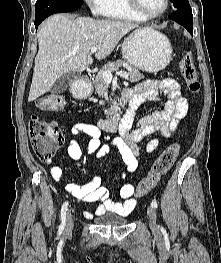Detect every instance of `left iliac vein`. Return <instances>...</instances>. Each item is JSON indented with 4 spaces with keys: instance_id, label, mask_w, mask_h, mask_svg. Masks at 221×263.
I'll return each mask as SVG.
<instances>
[{
    "instance_id": "left-iliac-vein-1",
    "label": "left iliac vein",
    "mask_w": 221,
    "mask_h": 263,
    "mask_svg": "<svg viewBox=\"0 0 221 263\" xmlns=\"http://www.w3.org/2000/svg\"><path fill=\"white\" fill-rule=\"evenodd\" d=\"M147 214L149 217V222H150V228L151 230L156 233L158 232V225H157V219H156V211L155 209L150 206L147 208Z\"/></svg>"
}]
</instances>
